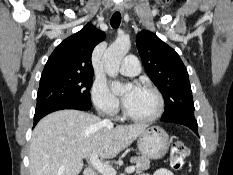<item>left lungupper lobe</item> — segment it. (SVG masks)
<instances>
[{
	"label": "left lung upper lobe",
	"mask_w": 233,
	"mask_h": 175,
	"mask_svg": "<svg viewBox=\"0 0 233 175\" xmlns=\"http://www.w3.org/2000/svg\"><path fill=\"white\" fill-rule=\"evenodd\" d=\"M136 44L146 72L164 97L161 119L194 117L188 72L176 51L146 30L137 34Z\"/></svg>",
	"instance_id": "5c2ea615"
}]
</instances>
